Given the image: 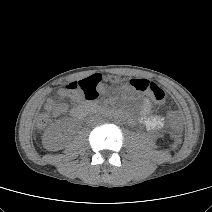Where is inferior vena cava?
<instances>
[{"instance_id": "inferior-vena-cava-1", "label": "inferior vena cava", "mask_w": 212, "mask_h": 212, "mask_svg": "<svg viewBox=\"0 0 212 212\" xmlns=\"http://www.w3.org/2000/svg\"><path fill=\"white\" fill-rule=\"evenodd\" d=\"M96 119H97V117H95V116H90V117L87 118V121H88L89 123H92V122L95 121Z\"/></svg>"}]
</instances>
